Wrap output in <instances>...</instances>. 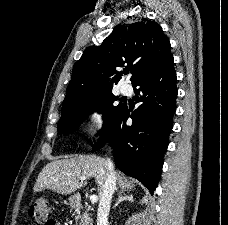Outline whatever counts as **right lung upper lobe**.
Wrapping results in <instances>:
<instances>
[{"label":"right lung upper lobe","instance_id":"right-lung-upper-lobe-1","mask_svg":"<svg viewBox=\"0 0 228 225\" xmlns=\"http://www.w3.org/2000/svg\"><path fill=\"white\" fill-rule=\"evenodd\" d=\"M170 51L169 39L157 22L124 23L101 45L87 48L75 63L62 107L112 91L127 69L132 70L135 85L170 56Z\"/></svg>","mask_w":228,"mask_h":225}]
</instances>
